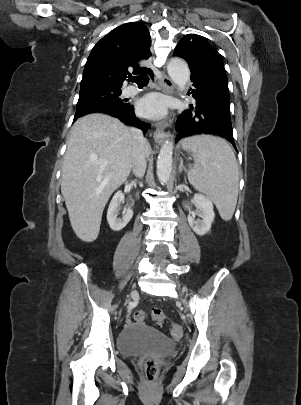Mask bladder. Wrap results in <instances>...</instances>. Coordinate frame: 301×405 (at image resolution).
Returning a JSON list of instances; mask_svg holds the SVG:
<instances>
[{"label":"bladder","instance_id":"obj_1","mask_svg":"<svg viewBox=\"0 0 301 405\" xmlns=\"http://www.w3.org/2000/svg\"><path fill=\"white\" fill-rule=\"evenodd\" d=\"M117 346L121 354L126 356L153 354L158 357H166L175 350V344L165 335L142 324L127 326L120 333Z\"/></svg>","mask_w":301,"mask_h":405}]
</instances>
